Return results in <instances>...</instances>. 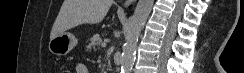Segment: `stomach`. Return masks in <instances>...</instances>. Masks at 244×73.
<instances>
[{
	"instance_id": "stomach-1",
	"label": "stomach",
	"mask_w": 244,
	"mask_h": 73,
	"mask_svg": "<svg viewBox=\"0 0 244 73\" xmlns=\"http://www.w3.org/2000/svg\"><path fill=\"white\" fill-rule=\"evenodd\" d=\"M78 43L77 38L68 32L57 35L50 39L49 51L57 56L67 55Z\"/></svg>"
}]
</instances>
